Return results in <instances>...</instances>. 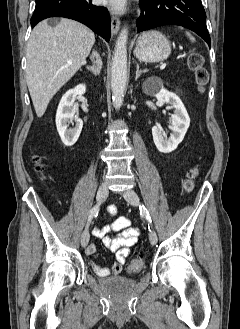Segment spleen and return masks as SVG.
<instances>
[{"label": "spleen", "instance_id": "obj_1", "mask_svg": "<svg viewBox=\"0 0 240 329\" xmlns=\"http://www.w3.org/2000/svg\"><path fill=\"white\" fill-rule=\"evenodd\" d=\"M186 35L192 42L195 41L194 37L190 33L186 32Z\"/></svg>", "mask_w": 240, "mask_h": 329}]
</instances>
